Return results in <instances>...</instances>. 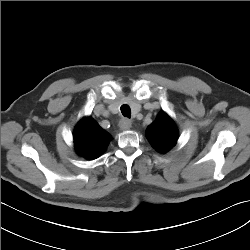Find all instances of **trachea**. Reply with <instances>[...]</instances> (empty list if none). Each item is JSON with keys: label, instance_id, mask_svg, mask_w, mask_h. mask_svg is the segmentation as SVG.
Segmentation results:
<instances>
[{"label": "trachea", "instance_id": "trachea-1", "mask_svg": "<svg viewBox=\"0 0 250 250\" xmlns=\"http://www.w3.org/2000/svg\"><path fill=\"white\" fill-rule=\"evenodd\" d=\"M121 112L123 116L130 118L131 117V109L128 105L124 104L121 106Z\"/></svg>", "mask_w": 250, "mask_h": 250}]
</instances>
